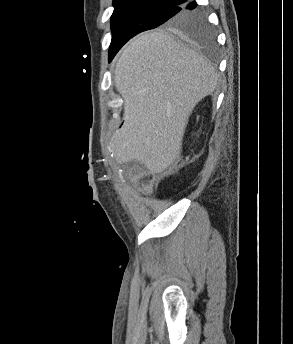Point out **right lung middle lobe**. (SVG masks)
<instances>
[{
	"label": "right lung middle lobe",
	"instance_id": "dd1d6c3e",
	"mask_svg": "<svg viewBox=\"0 0 293 344\" xmlns=\"http://www.w3.org/2000/svg\"><path fill=\"white\" fill-rule=\"evenodd\" d=\"M111 16L112 41L109 58L136 34L167 24L187 40L200 46L211 48L214 45L212 29L204 14L198 10L185 12L179 5L159 2H128L113 4Z\"/></svg>",
	"mask_w": 293,
	"mask_h": 344
}]
</instances>
